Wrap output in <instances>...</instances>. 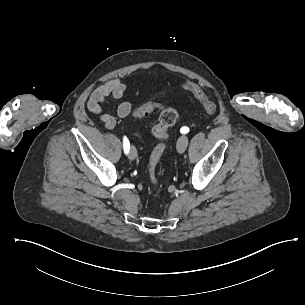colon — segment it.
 <instances>
[{"mask_svg": "<svg viewBox=\"0 0 305 305\" xmlns=\"http://www.w3.org/2000/svg\"><path fill=\"white\" fill-rule=\"evenodd\" d=\"M184 83L189 86V92L195 95V98L204 107L208 114H214L217 111L216 105L208 99L206 94L201 89H199L197 84H190V82L182 80L181 84ZM152 84L160 85V82L153 80ZM161 84H164V81H161ZM165 84H174V81H165ZM154 111H159L160 116L158 118V122L152 128V134L156 138L161 139V141L153 147L149 157V171L153 187H155L157 183V179L154 173L155 169L167 147L165 139L168 137V130L170 127H172L178 117L176 109L163 103L145 104L135 111L134 116L135 118H142L149 115L150 113H153Z\"/></svg>", "mask_w": 305, "mask_h": 305, "instance_id": "5ec220e1", "label": "colon"}]
</instances>
